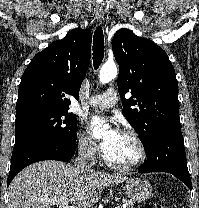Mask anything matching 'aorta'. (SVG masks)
<instances>
[{"label": "aorta", "mask_w": 199, "mask_h": 208, "mask_svg": "<svg viewBox=\"0 0 199 208\" xmlns=\"http://www.w3.org/2000/svg\"><path fill=\"white\" fill-rule=\"evenodd\" d=\"M118 73V69L115 63H105L99 72V81L102 84H106L112 81ZM105 131V127L97 128L94 131V135H102Z\"/></svg>", "instance_id": "762f6f07"}]
</instances>
